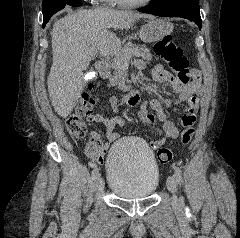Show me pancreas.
<instances>
[{"label":"pancreas","mask_w":240,"mask_h":238,"mask_svg":"<svg viewBox=\"0 0 240 238\" xmlns=\"http://www.w3.org/2000/svg\"><path fill=\"white\" fill-rule=\"evenodd\" d=\"M137 51L139 57L144 60L151 61L152 54L150 50L144 46H136L132 43H127L124 47L117 53L113 62L111 64V68L114 70L113 75L109 76V82L112 86H117L122 91H127L130 89V86L126 85L127 80V67L129 62L125 61V54L129 51Z\"/></svg>","instance_id":"1"}]
</instances>
